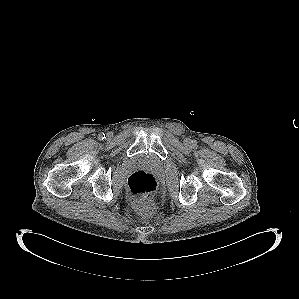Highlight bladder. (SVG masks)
Wrapping results in <instances>:
<instances>
[{
  "instance_id": "1",
  "label": "bladder",
  "mask_w": 299,
  "mask_h": 299,
  "mask_svg": "<svg viewBox=\"0 0 299 299\" xmlns=\"http://www.w3.org/2000/svg\"><path fill=\"white\" fill-rule=\"evenodd\" d=\"M136 161L138 163H153L154 161L151 159L149 155L142 154L136 157Z\"/></svg>"
}]
</instances>
